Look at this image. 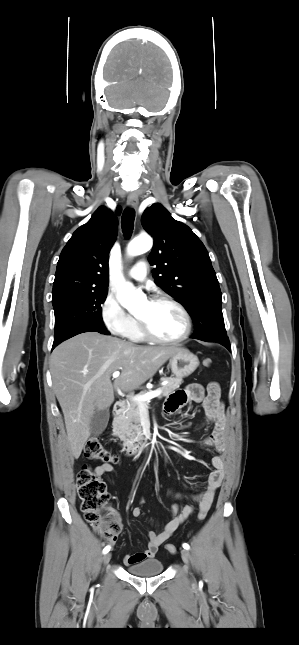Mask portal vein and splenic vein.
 <instances>
[{"mask_svg":"<svg viewBox=\"0 0 299 645\" xmlns=\"http://www.w3.org/2000/svg\"><path fill=\"white\" fill-rule=\"evenodd\" d=\"M119 375H120V372L115 371V372H113L112 377L117 378V377H119ZM161 393H162L161 390L150 391V392H147L146 394L137 395V396L133 397V400L137 401L139 404H143L146 401H150L151 399H153L155 397H158L159 395H161Z\"/></svg>","mask_w":299,"mask_h":645,"instance_id":"1","label":"portal vein and splenic vein"}]
</instances>
